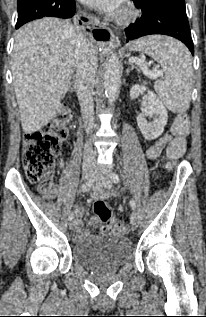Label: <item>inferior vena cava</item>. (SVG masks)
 I'll return each instance as SVG.
<instances>
[{"mask_svg": "<svg viewBox=\"0 0 206 317\" xmlns=\"http://www.w3.org/2000/svg\"><path fill=\"white\" fill-rule=\"evenodd\" d=\"M76 57L78 60L75 88L79 99L84 128L89 133L94 124L93 88L94 77L97 71V56L93 45L80 34L77 40ZM96 153L91 143H86L83 166L96 165Z\"/></svg>", "mask_w": 206, "mask_h": 317, "instance_id": "1", "label": "inferior vena cava"}]
</instances>
